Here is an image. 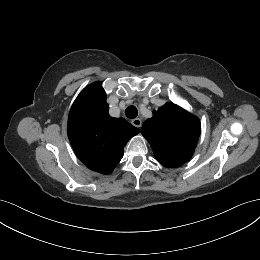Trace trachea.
<instances>
[{
    "label": "trachea",
    "instance_id": "1",
    "mask_svg": "<svg viewBox=\"0 0 260 260\" xmlns=\"http://www.w3.org/2000/svg\"><path fill=\"white\" fill-rule=\"evenodd\" d=\"M125 114L128 118L134 119L138 115V110L135 106L131 105L126 108Z\"/></svg>",
    "mask_w": 260,
    "mask_h": 260
}]
</instances>
